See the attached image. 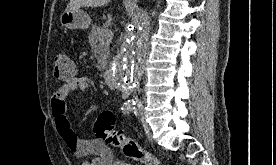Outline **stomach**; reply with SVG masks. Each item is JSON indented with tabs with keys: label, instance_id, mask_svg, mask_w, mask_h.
Masks as SVG:
<instances>
[{
	"label": "stomach",
	"instance_id": "1",
	"mask_svg": "<svg viewBox=\"0 0 276 165\" xmlns=\"http://www.w3.org/2000/svg\"><path fill=\"white\" fill-rule=\"evenodd\" d=\"M61 25L68 29H87L91 19L83 10L65 11L60 17Z\"/></svg>",
	"mask_w": 276,
	"mask_h": 165
}]
</instances>
